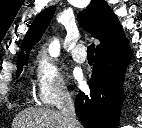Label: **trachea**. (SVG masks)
Wrapping results in <instances>:
<instances>
[{
  "instance_id": "1",
  "label": "trachea",
  "mask_w": 142,
  "mask_h": 128,
  "mask_svg": "<svg viewBox=\"0 0 142 128\" xmlns=\"http://www.w3.org/2000/svg\"><path fill=\"white\" fill-rule=\"evenodd\" d=\"M87 57L93 59L94 58V44L88 46L87 48Z\"/></svg>"
}]
</instances>
